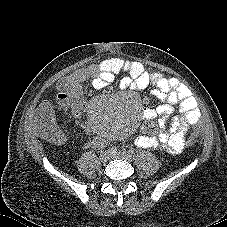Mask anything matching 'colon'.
<instances>
[{"mask_svg":"<svg viewBox=\"0 0 227 227\" xmlns=\"http://www.w3.org/2000/svg\"><path fill=\"white\" fill-rule=\"evenodd\" d=\"M41 133L43 137L51 143H62L65 139L64 133L53 124L45 125L41 128ZM184 145L186 147H197L199 145V138L188 134L183 139Z\"/></svg>","mask_w":227,"mask_h":227,"instance_id":"5ec220e1","label":"colon"}]
</instances>
